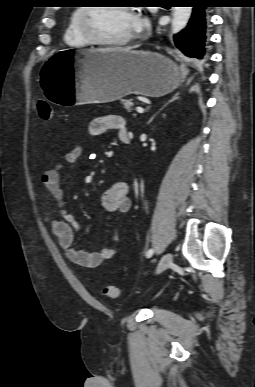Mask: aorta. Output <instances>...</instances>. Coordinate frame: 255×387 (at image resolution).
Returning a JSON list of instances; mask_svg holds the SVG:
<instances>
[{
	"instance_id": "762f6f07",
	"label": "aorta",
	"mask_w": 255,
	"mask_h": 387,
	"mask_svg": "<svg viewBox=\"0 0 255 387\" xmlns=\"http://www.w3.org/2000/svg\"><path fill=\"white\" fill-rule=\"evenodd\" d=\"M192 13V7H175L171 23L173 34L180 32L188 23Z\"/></svg>"
}]
</instances>
